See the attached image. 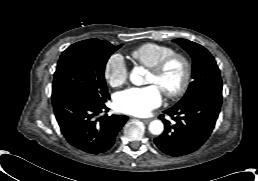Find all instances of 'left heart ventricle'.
Masks as SVG:
<instances>
[{
  "label": "left heart ventricle",
  "mask_w": 258,
  "mask_h": 181,
  "mask_svg": "<svg viewBox=\"0 0 258 181\" xmlns=\"http://www.w3.org/2000/svg\"><path fill=\"white\" fill-rule=\"evenodd\" d=\"M183 76V65L175 60L169 64L164 73L160 76L149 72L147 83L156 84L161 90L175 89L181 82Z\"/></svg>",
  "instance_id": "1"
}]
</instances>
